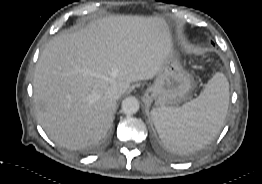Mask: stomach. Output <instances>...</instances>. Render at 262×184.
<instances>
[{"instance_id": "1", "label": "stomach", "mask_w": 262, "mask_h": 184, "mask_svg": "<svg viewBox=\"0 0 262 184\" xmlns=\"http://www.w3.org/2000/svg\"><path fill=\"white\" fill-rule=\"evenodd\" d=\"M194 87L190 74L184 70L179 60L172 57L162 66L154 83L145 95L155 101V105L166 107L186 101Z\"/></svg>"}]
</instances>
